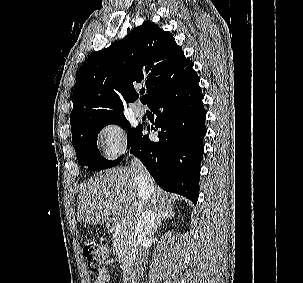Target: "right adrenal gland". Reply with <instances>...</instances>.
Masks as SVG:
<instances>
[{"label": "right adrenal gland", "mask_w": 303, "mask_h": 283, "mask_svg": "<svg viewBox=\"0 0 303 283\" xmlns=\"http://www.w3.org/2000/svg\"><path fill=\"white\" fill-rule=\"evenodd\" d=\"M175 212L173 211V209H162L158 211V215L156 217V221H155V227L154 230L156 231L159 226L161 225V221L165 220V219H172L175 217Z\"/></svg>", "instance_id": "2a0ac1e0"}]
</instances>
